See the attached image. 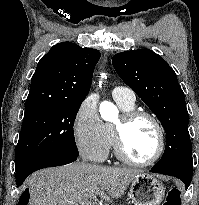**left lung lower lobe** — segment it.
<instances>
[{"mask_svg": "<svg viewBox=\"0 0 199 205\" xmlns=\"http://www.w3.org/2000/svg\"><path fill=\"white\" fill-rule=\"evenodd\" d=\"M151 172L170 175V176H174L176 178H179L186 185V189L189 187V185L191 183V180H192L191 176H187V175H185L184 173H182L180 171H176V170H172V169H155V168H152Z\"/></svg>", "mask_w": 199, "mask_h": 205, "instance_id": "obj_1", "label": "left lung lower lobe"}]
</instances>
